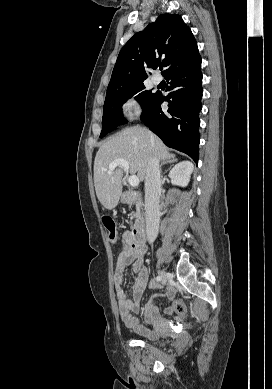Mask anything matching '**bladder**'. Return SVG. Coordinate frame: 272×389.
<instances>
[{
  "instance_id": "1",
  "label": "bladder",
  "mask_w": 272,
  "mask_h": 389,
  "mask_svg": "<svg viewBox=\"0 0 272 389\" xmlns=\"http://www.w3.org/2000/svg\"><path fill=\"white\" fill-rule=\"evenodd\" d=\"M164 336H165V333H157L154 337L149 338V340H151V342H153V343H163L164 342V339H163Z\"/></svg>"
}]
</instances>
